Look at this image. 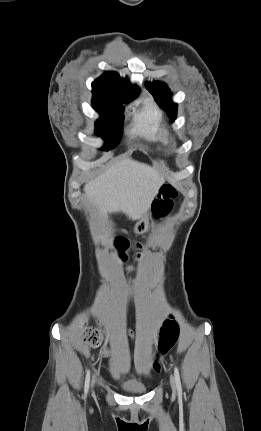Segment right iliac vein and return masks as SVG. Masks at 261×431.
Instances as JSON below:
<instances>
[{
	"label": "right iliac vein",
	"instance_id": "1",
	"mask_svg": "<svg viewBox=\"0 0 261 431\" xmlns=\"http://www.w3.org/2000/svg\"><path fill=\"white\" fill-rule=\"evenodd\" d=\"M95 380H96V377L95 376H93V379H92V387L94 386V384H95Z\"/></svg>",
	"mask_w": 261,
	"mask_h": 431
}]
</instances>
